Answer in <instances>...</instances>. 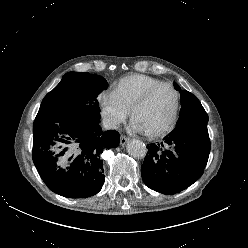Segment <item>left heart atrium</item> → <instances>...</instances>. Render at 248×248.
<instances>
[{
	"label": "left heart atrium",
	"mask_w": 248,
	"mask_h": 248,
	"mask_svg": "<svg viewBox=\"0 0 248 248\" xmlns=\"http://www.w3.org/2000/svg\"><path fill=\"white\" fill-rule=\"evenodd\" d=\"M131 130L135 133H145L143 129L138 124H136L134 121L131 124Z\"/></svg>",
	"instance_id": "1"
}]
</instances>
